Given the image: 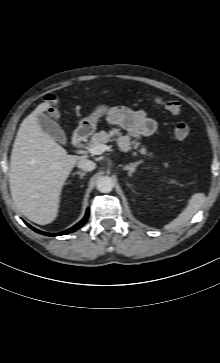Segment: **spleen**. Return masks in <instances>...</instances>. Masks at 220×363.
Masks as SVG:
<instances>
[{"label":"spleen","instance_id":"3e777b00","mask_svg":"<svg viewBox=\"0 0 220 363\" xmlns=\"http://www.w3.org/2000/svg\"><path fill=\"white\" fill-rule=\"evenodd\" d=\"M206 197L204 193H195L188 202L183 212L172 222L166 225V229H175L189 221L205 203Z\"/></svg>","mask_w":220,"mask_h":363}]
</instances>
